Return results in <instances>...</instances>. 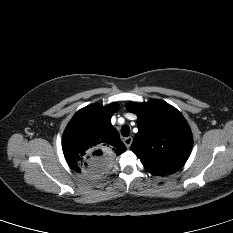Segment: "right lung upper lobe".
<instances>
[{
	"instance_id": "1",
	"label": "right lung upper lobe",
	"mask_w": 233,
	"mask_h": 233,
	"mask_svg": "<svg viewBox=\"0 0 233 233\" xmlns=\"http://www.w3.org/2000/svg\"><path fill=\"white\" fill-rule=\"evenodd\" d=\"M117 109V103L93 104L73 116L62 138L65 159L73 170L98 177L115 167L117 156L126 151L110 121Z\"/></svg>"
}]
</instances>
